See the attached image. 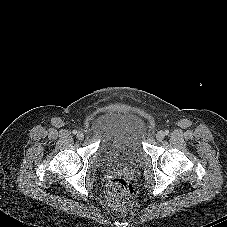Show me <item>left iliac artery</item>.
Returning a JSON list of instances; mask_svg holds the SVG:
<instances>
[{"label": "left iliac artery", "instance_id": "44dca946", "mask_svg": "<svg viewBox=\"0 0 227 227\" xmlns=\"http://www.w3.org/2000/svg\"><path fill=\"white\" fill-rule=\"evenodd\" d=\"M166 135H168L169 134V131L168 130H165V132H164Z\"/></svg>", "mask_w": 227, "mask_h": 227}]
</instances>
